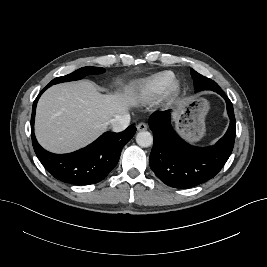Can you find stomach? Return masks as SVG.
<instances>
[{"label": "stomach", "instance_id": "0dacf381", "mask_svg": "<svg viewBox=\"0 0 267 267\" xmlns=\"http://www.w3.org/2000/svg\"><path fill=\"white\" fill-rule=\"evenodd\" d=\"M208 110L209 103L204 98L190 99L181 105L175 125L179 133L189 142L195 143L204 137Z\"/></svg>", "mask_w": 267, "mask_h": 267}]
</instances>
